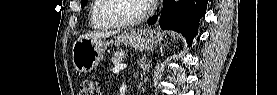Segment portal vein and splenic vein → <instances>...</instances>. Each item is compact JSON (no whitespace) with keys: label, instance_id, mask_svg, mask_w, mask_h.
Here are the masks:
<instances>
[{"label":"portal vein and splenic vein","instance_id":"1","mask_svg":"<svg viewBox=\"0 0 277 95\" xmlns=\"http://www.w3.org/2000/svg\"><path fill=\"white\" fill-rule=\"evenodd\" d=\"M127 67L126 64H118L113 68V73H118L119 71L125 69Z\"/></svg>","mask_w":277,"mask_h":95}]
</instances>
